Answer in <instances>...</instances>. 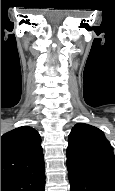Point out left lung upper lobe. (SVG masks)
I'll return each mask as SVG.
<instances>
[{
	"label": "left lung upper lobe",
	"mask_w": 115,
	"mask_h": 191,
	"mask_svg": "<svg viewBox=\"0 0 115 191\" xmlns=\"http://www.w3.org/2000/svg\"><path fill=\"white\" fill-rule=\"evenodd\" d=\"M67 166L115 181V155L104 133L89 124H76L69 137Z\"/></svg>",
	"instance_id": "left-lung-upper-lobe-1"
}]
</instances>
